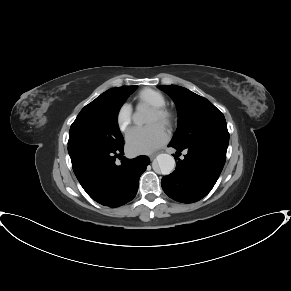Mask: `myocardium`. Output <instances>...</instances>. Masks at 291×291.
<instances>
[{
	"label": "myocardium",
	"mask_w": 291,
	"mask_h": 291,
	"mask_svg": "<svg viewBox=\"0 0 291 291\" xmlns=\"http://www.w3.org/2000/svg\"><path fill=\"white\" fill-rule=\"evenodd\" d=\"M151 110L157 114L162 125L170 127L174 123V114L166 107H152Z\"/></svg>",
	"instance_id": "myocardium-1"
}]
</instances>
